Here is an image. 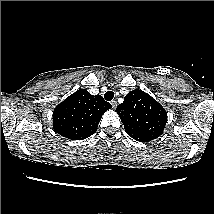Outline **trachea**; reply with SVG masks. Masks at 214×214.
<instances>
[{"label": "trachea", "instance_id": "1", "mask_svg": "<svg viewBox=\"0 0 214 214\" xmlns=\"http://www.w3.org/2000/svg\"><path fill=\"white\" fill-rule=\"evenodd\" d=\"M104 98H105L107 101H111V100L114 98V92H112V91H107V92L104 94Z\"/></svg>", "mask_w": 214, "mask_h": 214}]
</instances>
